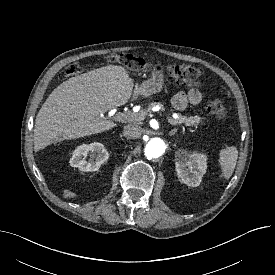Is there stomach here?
<instances>
[{
	"label": "stomach",
	"mask_w": 275,
	"mask_h": 275,
	"mask_svg": "<svg viewBox=\"0 0 275 275\" xmlns=\"http://www.w3.org/2000/svg\"><path fill=\"white\" fill-rule=\"evenodd\" d=\"M164 82L163 70L160 66L154 67L150 79L142 82L140 85L141 95L148 97L162 90Z\"/></svg>",
	"instance_id": "0dacf381"
}]
</instances>
